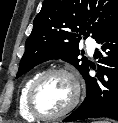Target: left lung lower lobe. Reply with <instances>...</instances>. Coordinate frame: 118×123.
<instances>
[{
  "mask_svg": "<svg viewBox=\"0 0 118 123\" xmlns=\"http://www.w3.org/2000/svg\"><path fill=\"white\" fill-rule=\"evenodd\" d=\"M101 44L96 77L89 76L91 65L82 75L86 82V98L64 122L107 117L118 121V17L95 39Z\"/></svg>",
  "mask_w": 118,
  "mask_h": 123,
  "instance_id": "left-lung-lower-lobe-1",
  "label": "left lung lower lobe"
}]
</instances>
